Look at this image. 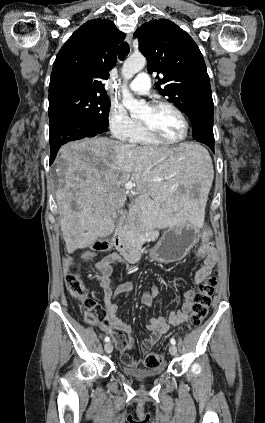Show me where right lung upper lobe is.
Wrapping results in <instances>:
<instances>
[{
    "label": "right lung upper lobe",
    "mask_w": 265,
    "mask_h": 423,
    "mask_svg": "<svg viewBox=\"0 0 265 423\" xmlns=\"http://www.w3.org/2000/svg\"><path fill=\"white\" fill-rule=\"evenodd\" d=\"M125 34L106 19H93L77 29L60 49L53 64L49 97L65 92L107 96L102 80L116 64Z\"/></svg>",
    "instance_id": "right-lung-upper-lobe-1"
}]
</instances>
